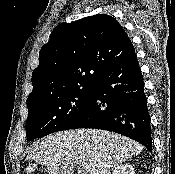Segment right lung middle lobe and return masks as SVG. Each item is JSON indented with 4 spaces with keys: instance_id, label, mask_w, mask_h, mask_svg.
<instances>
[{
    "instance_id": "1",
    "label": "right lung middle lobe",
    "mask_w": 175,
    "mask_h": 174,
    "mask_svg": "<svg viewBox=\"0 0 175 174\" xmlns=\"http://www.w3.org/2000/svg\"><path fill=\"white\" fill-rule=\"evenodd\" d=\"M93 85L71 89L28 105L26 137L29 141L64 130L86 108Z\"/></svg>"
}]
</instances>
